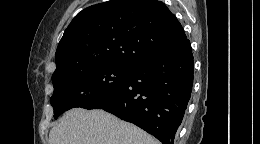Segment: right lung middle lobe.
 I'll return each instance as SVG.
<instances>
[{"instance_id":"right-lung-middle-lobe-1","label":"right lung middle lobe","mask_w":260,"mask_h":144,"mask_svg":"<svg viewBox=\"0 0 260 144\" xmlns=\"http://www.w3.org/2000/svg\"><path fill=\"white\" fill-rule=\"evenodd\" d=\"M129 71L130 67L105 64L53 76L50 103L54 118L71 108L87 109L111 97L126 83Z\"/></svg>"}]
</instances>
